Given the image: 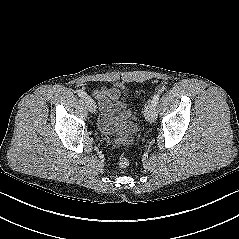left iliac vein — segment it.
<instances>
[{
	"instance_id": "obj_1",
	"label": "left iliac vein",
	"mask_w": 239,
	"mask_h": 239,
	"mask_svg": "<svg viewBox=\"0 0 239 239\" xmlns=\"http://www.w3.org/2000/svg\"><path fill=\"white\" fill-rule=\"evenodd\" d=\"M145 118L148 122H154L157 118L156 105L150 101L145 107L144 111Z\"/></svg>"
}]
</instances>
